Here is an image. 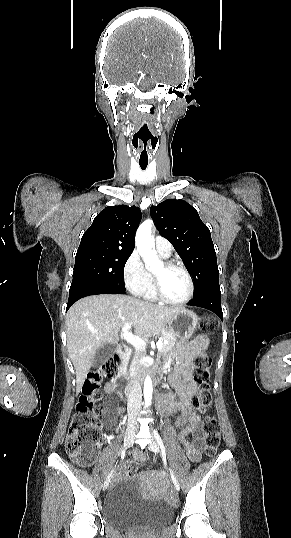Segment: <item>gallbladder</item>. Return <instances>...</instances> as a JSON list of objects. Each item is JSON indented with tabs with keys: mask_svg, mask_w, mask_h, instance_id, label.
<instances>
[{
	"mask_svg": "<svg viewBox=\"0 0 291 538\" xmlns=\"http://www.w3.org/2000/svg\"><path fill=\"white\" fill-rule=\"evenodd\" d=\"M117 345L112 343H105L102 347H100L94 356L92 366L94 368H97L101 366L108 358L109 356L114 353L116 350Z\"/></svg>",
	"mask_w": 291,
	"mask_h": 538,
	"instance_id": "bac80fb5",
	"label": "gallbladder"
}]
</instances>
